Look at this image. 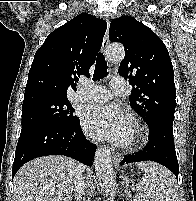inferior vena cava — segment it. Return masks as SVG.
Masks as SVG:
<instances>
[{
    "label": "inferior vena cava",
    "instance_id": "inferior-vena-cava-1",
    "mask_svg": "<svg viewBox=\"0 0 196 201\" xmlns=\"http://www.w3.org/2000/svg\"><path fill=\"white\" fill-rule=\"evenodd\" d=\"M84 177L82 176V171H79L76 174L75 180H74V192H75V199L76 201H80L82 196L84 195Z\"/></svg>",
    "mask_w": 196,
    "mask_h": 201
}]
</instances>
